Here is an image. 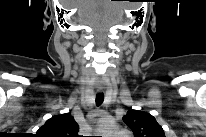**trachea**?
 I'll use <instances>...</instances> for the list:
<instances>
[{"label": "trachea", "mask_w": 206, "mask_h": 137, "mask_svg": "<svg viewBox=\"0 0 206 137\" xmlns=\"http://www.w3.org/2000/svg\"><path fill=\"white\" fill-rule=\"evenodd\" d=\"M104 101V94L103 93H100V94H97L96 96V104L97 106H100Z\"/></svg>", "instance_id": "obj_1"}]
</instances>
